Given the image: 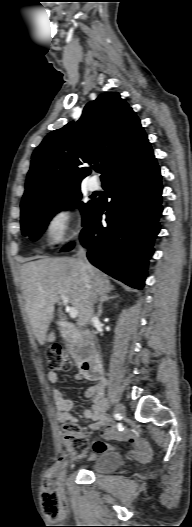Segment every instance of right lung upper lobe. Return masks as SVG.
<instances>
[{"label":"right lung upper lobe","mask_w":192,"mask_h":527,"mask_svg":"<svg viewBox=\"0 0 192 527\" xmlns=\"http://www.w3.org/2000/svg\"><path fill=\"white\" fill-rule=\"evenodd\" d=\"M146 141L140 120L120 94H101L85 106L77 122L50 132L35 149L21 206L80 188L90 174L87 164H101L103 181Z\"/></svg>","instance_id":"cb5924a9"}]
</instances>
